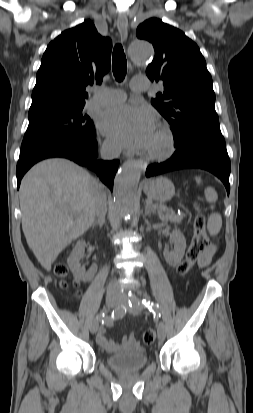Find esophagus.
Returning <instances> with one entry per match:
<instances>
[{"label": "esophagus", "mask_w": 253, "mask_h": 413, "mask_svg": "<svg viewBox=\"0 0 253 413\" xmlns=\"http://www.w3.org/2000/svg\"><path fill=\"white\" fill-rule=\"evenodd\" d=\"M117 27L120 32L121 39L125 42L128 37V21L125 14H119L117 17ZM141 170L144 171L148 165L146 161L140 160Z\"/></svg>", "instance_id": "34e87169"}]
</instances>
